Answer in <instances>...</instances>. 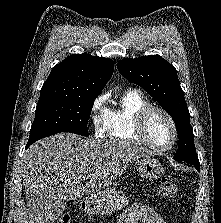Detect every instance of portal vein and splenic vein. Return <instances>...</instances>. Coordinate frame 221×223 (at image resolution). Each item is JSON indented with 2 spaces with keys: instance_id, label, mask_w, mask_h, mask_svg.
I'll return each mask as SVG.
<instances>
[{
  "instance_id": "portal-vein-and-splenic-vein-1",
  "label": "portal vein and splenic vein",
  "mask_w": 221,
  "mask_h": 223,
  "mask_svg": "<svg viewBox=\"0 0 221 223\" xmlns=\"http://www.w3.org/2000/svg\"><path fill=\"white\" fill-rule=\"evenodd\" d=\"M82 179H83V180H85L86 178H85V177H83Z\"/></svg>"
}]
</instances>
